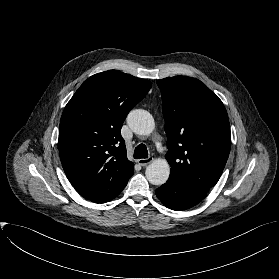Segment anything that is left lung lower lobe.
I'll return each instance as SVG.
<instances>
[{
	"label": "left lung lower lobe",
	"instance_id": "0a47b994",
	"mask_svg": "<svg viewBox=\"0 0 279 279\" xmlns=\"http://www.w3.org/2000/svg\"><path fill=\"white\" fill-rule=\"evenodd\" d=\"M207 192L171 177L156 190L159 200L172 210H186L197 205Z\"/></svg>",
	"mask_w": 279,
	"mask_h": 279
}]
</instances>
